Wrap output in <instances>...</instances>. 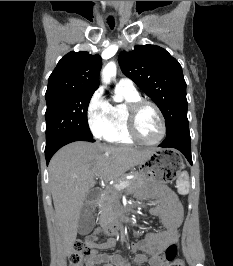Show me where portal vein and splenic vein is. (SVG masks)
Returning a JSON list of instances; mask_svg holds the SVG:
<instances>
[{"label": "portal vein and splenic vein", "instance_id": "1", "mask_svg": "<svg viewBox=\"0 0 233 266\" xmlns=\"http://www.w3.org/2000/svg\"><path fill=\"white\" fill-rule=\"evenodd\" d=\"M97 176H99V175H97ZM128 185H129L128 181H122L119 184L114 185V188L117 190H120V189L126 188Z\"/></svg>", "mask_w": 233, "mask_h": 266}]
</instances>
